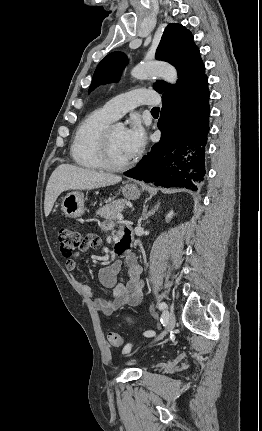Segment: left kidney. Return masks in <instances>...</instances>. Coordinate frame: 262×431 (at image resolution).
<instances>
[{
	"mask_svg": "<svg viewBox=\"0 0 262 431\" xmlns=\"http://www.w3.org/2000/svg\"><path fill=\"white\" fill-rule=\"evenodd\" d=\"M174 215V213H173V211H170L169 213H168V215L166 216V220L168 221V220H170L171 218H172V216Z\"/></svg>",
	"mask_w": 262,
	"mask_h": 431,
	"instance_id": "obj_1",
	"label": "left kidney"
}]
</instances>
